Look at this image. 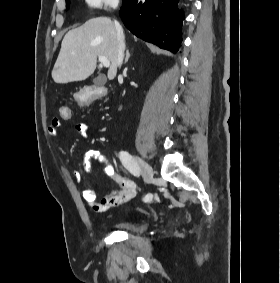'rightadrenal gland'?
I'll return each mask as SVG.
<instances>
[{"instance_id":"1","label":"right adrenal gland","mask_w":280,"mask_h":283,"mask_svg":"<svg viewBox=\"0 0 280 283\" xmlns=\"http://www.w3.org/2000/svg\"><path fill=\"white\" fill-rule=\"evenodd\" d=\"M129 58H130V53H129V50L127 49V51H126V57H125V62H124V63H127L128 60H129Z\"/></svg>"}]
</instances>
